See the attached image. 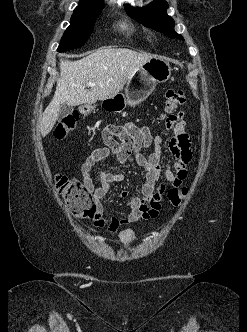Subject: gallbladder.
<instances>
[{
	"label": "gallbladder",
	"instance_id": "obj_1",
	"mask_svg": "<svg viewBox=\"0 0 247 332\" xmlns=\"http://www.w3.org/2000/svg\"><path fill=\"white\" fill-rule=\"evenodd\" d=\"M72 111H73L72 106H69L68 104L63 103L59 109V117L63 118L65 116L69 115L70 113H72Z\"/></svg>",
	"mask_w": 247,
	"mask_h": 332
}]
</instances>
